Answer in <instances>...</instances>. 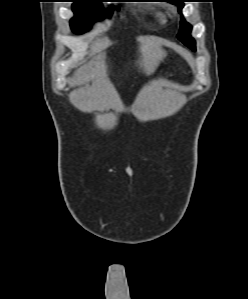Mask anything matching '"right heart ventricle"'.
Wrapping results in <instances>:
<instances>
[{
  "mask_svg": "<svg viewBox=\"0 0 248 299\" xmlns=\"http://www.w3.org/2000/svg\"><path fill=\"white\" fill-rule=\"evenodd\" d=\"M153 17L158 20L159 22H165L166 18L163 12L159 10H155L152 12Z\"/></svg>",
  "mask_w": 248,
  "mask_h": 299,
  "instance_id": "e07e8e85",
  "label": "right heart ventricle"
}]
</instances>
